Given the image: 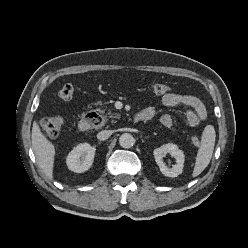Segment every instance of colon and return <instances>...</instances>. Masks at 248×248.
Instances as JSON below:
<instances>
[{
  "label": "colon",
  "mask_w": 248,
  "mask_h": 248,
  "mask_svg": "<svg viewBox=\"0 0 248 248\" xmlns=\"http://www.w3.org/2000/svg\"><path fill=\"white\" fill-rule=\"evenodd\" d=\"M150 90L155 95H166L168 94L170 88L164 83H153L150 86ZM73 93V86L66 84L59 90V97L63 100H70L73 97ZM62 124L63 119L61 117L54 116L42 119L39 122V127L44 136L47 138H54L59 134ZM191 142L195 147L200 145V140L196 136L191 138Z\"/></svg>",
  "instance_id": "5ec220e1"
}]
</instances>
